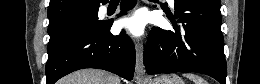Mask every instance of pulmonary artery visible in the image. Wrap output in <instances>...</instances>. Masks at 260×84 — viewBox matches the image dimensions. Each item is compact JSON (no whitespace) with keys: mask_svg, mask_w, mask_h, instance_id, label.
Wrapping results in <instances>:
<instances>
[{"mask_svg":"<svg viewBox=\"0 0 260 84\" xmlns=\"http://www.w3.org/2000/svg\"><path fill=\"white\" fill-rule=\"evenodd\" d=\"M168 2H169V4L171 5V6H174V0H168Z\"/></svg>","mask_w":260,"mask_h":84,"instance_id":"e3ab8cb5","label":"pulmonary artery"}]
</instances>
